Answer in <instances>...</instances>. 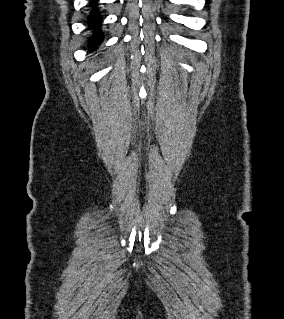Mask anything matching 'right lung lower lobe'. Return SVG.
Segmentation results:
<instances>
[{
    "mask_svg": "<svg viewBox=\"0 0 284 319\" xmlns=\"http://www.w3.org/2000/svg\"><path fill=\"white\" fill-rule=\"evenodd\" d=\"M92 6L95 5V2L91 4ZM89 21L94 29L98 32L94 37L90 38V43L92 47H96L98 43L102 40V34L99 32L100 22H101V16L97 14L96 12H93L91 16L89 17Z\"/></svg>",
    "mask_w": 284,
    "mask_h": 319,
    "instance_id": "obj_1",
    "label": "right lung lower lobe"
}]
</instances>
